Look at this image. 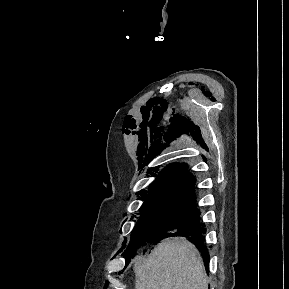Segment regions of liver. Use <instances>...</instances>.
Segmentation results:
<instances>
[{
	"label": "liver",
	"instance_id": "liver-1",
	"mask_svg": "<svg viewBox=\"0 0 289 289\" xmlns=\"http://www.w3.org/2000/svg\"><path fill=\"white\" fill-rule=\"evenodd\" d=\"M135 289H208L203 260L186 238L166 239L134 260Z\"/></svg>",
	"mask_w": 289,
	"mask_h": 289
}]
</instances>
